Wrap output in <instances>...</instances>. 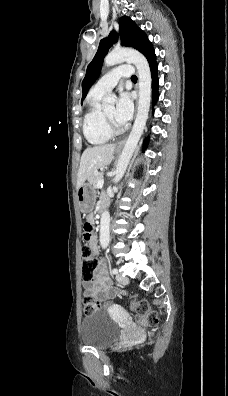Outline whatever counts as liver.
<instances>
[{"mask_svg":"<svg viewBox=\"0 0 228 396\" xmlns=\"http://www.w3.org/2000/svg\"><path fill=\"white\" fill-rule=\"evenodd\" d=\"M115 144H104L87 147L80 160L77 174V189L89 179L99 168L107 166L113 159Z\"/></svg>","mask_w":228,"mask_h":396,"instance_id":"1","label":"liver"}]
</instances>
